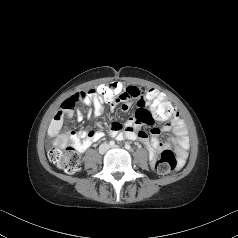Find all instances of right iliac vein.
Instances as JSON below:
<instances>
[{"mask_svg":"<svg viewBox=\"0 0 238 238\" xmlns=\"http://www.w3.org/2000/svg\"><path fill=\"white\" fill-rule=\"evenodd\" d=\"M108 150V146L106 144H103L100 146L99 151L100 153H105Z\"/></svg>","mask_w":238,"mask_h":238,"instance_id":"1","label":"right iliac vein"}]
</instances>
